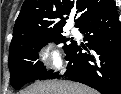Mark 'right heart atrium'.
<instances>
[{
    "label": "right heart atrium",
    "instance_id": "1",
    "mask_svg": "<svg viewBox=\"0 0 121 94\" xmlns=\"http://www.w3.org/2000/svg\"><path fill=\"white\" fill-rule=\"evenodd\" d=\"M39 61L43 64L50 65L55 69L62 66V58L58 50L51 46H44L39 52Z\"/></svg>",
    "mask_w": 121,
    "mask_h": 94
}]
</instances>
